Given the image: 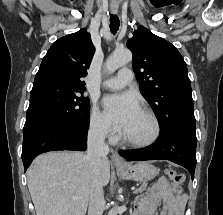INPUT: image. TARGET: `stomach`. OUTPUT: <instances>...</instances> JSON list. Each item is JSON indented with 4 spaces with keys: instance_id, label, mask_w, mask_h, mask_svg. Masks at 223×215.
Instances as JSON below:
<instances>
[{
    "instance_id": "0dacf381",
    "label": "stomach",
    "mask_w": 223,
    "mask_h": 215,
    "mask_svg": "<svg viewBox=\"0 0 223 215\" xmlns=\"http://www.w3.org/2000/svg\"><path fill=\"white\" fill-rule=\"evenodd\" d=\"M117 171L124 179H133V181H149L158 173L157 167H154L150 161H138L135 165L126 163L125 167H117Z\"/></svg>"
}]
</instances>
